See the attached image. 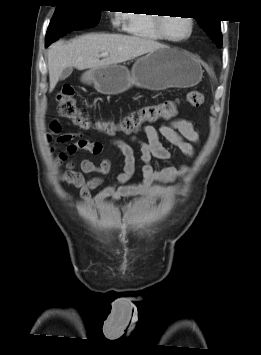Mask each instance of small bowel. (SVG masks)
Returning <instances> with one entry per match:
<instances>
[{
	"label": "small bowel",
	"instance_id": "c3829d8e",
	"mask_svg": "<svg viewBox=\"0 0 261 355\" xmlns=\"http://www.w3.org/2000/svg\"><path fill=\"white\" fill-rule=\"evenodd\" d=\"M57 126V125H56ZM59 127L52 128V132L57 133ZM142 133L146 140H137L139 146L140 159L143 162L142 180L137 184H128L135 172L136 158L131 145L122 139H112L110 144L118 149L124 157L123 171L117 176V183L102 189L96 195L91 192L99 187L103 182L102 175L109 173L111 162L108 158L102 157L99 165L88 159L79 162L81 171H75L76 163L68 161V157L80 150L90 152L96 156H102L104 145L98 141H90L80 133H63L56 137L55 142L67 144L65 150L61 151L57 158V165L66 164L67 170L58 176V180L63 183L73 185L80 190V198L90 206H97L106 199L116 202L124 197H145L148 202L170 200L177 192L176 185H161L158 183H172L177 177L187 173L186 166L155 168L151 164L153 157L167 160L171 157L170 151L165 147L162 140L178 149L185 156L194 155V143L198 142L199 135L193 124L183 118H175L156 128L145 126ZM50 139V136L48 137ZM98 173V176L86 179L84 174Z\"/></svg>",
	"mask_w": 261,
	"mask_h": 355
}]
</instances>
